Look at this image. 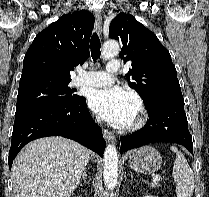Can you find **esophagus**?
<instances>
[{
  "instance_id": "obj_1",
  "label": "esophagus",
  "mask_w": 209,
  "mask_h": 197,
  "mask_svg": "<svg viewBox=\"0 0 209 197\" xmlns=\"http://www.w3.org/2000/svg\"><path fill=\"white\" fill-rule=\"evenodd\" d=\"M95 24H96L97 32L99 34H101L102 33V16H101V13L98 11L95 12ZM102 133H103V136L107 142H114L115 141V136L111 131H109L107 129H103Z\"/></svg>"
}]
</instances>
